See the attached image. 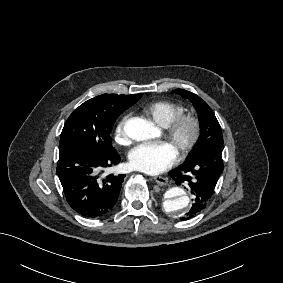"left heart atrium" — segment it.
<instances>
[{
    "label": "left heart atrium",
    "instance_id": "1",
    "mask_svg": "<svg viewBox=\"0 0 283 283\" xmlns=\"http://www.w3.org/2000/svg\"><path fill=\"white\" fill-rule=\"evenodd\" d=\"M178 159L177 150L168 142L142 143L128 153L132 169L147 175H156L169 169Z\"/></svg>",
    "mask_w": 283,
    "mask_h": 283
}]
</instances>
